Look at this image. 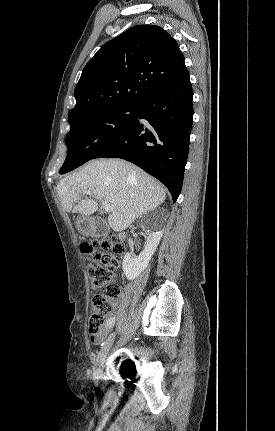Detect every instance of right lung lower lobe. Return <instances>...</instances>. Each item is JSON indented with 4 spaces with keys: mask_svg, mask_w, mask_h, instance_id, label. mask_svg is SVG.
Here are the masks:
<instances>
[{
    "mask_svg": "<svg viewBox=\"0 0 275 431\" xmlns=\"http://www.w3.org/2000/svg\"><path fill=\"white\" fill-rule=\"evenodd\" d=\"M193 90L186 70L139 103L133 123L94 158L130 161L160 180L175 202L181 192L193 123Z\"/></svg>",
    "mask_w": 275,
    "mask_h": 431,
    "instance_id": "obj_1",
    "label": "right lung lower lobe"
}]
</instances>
